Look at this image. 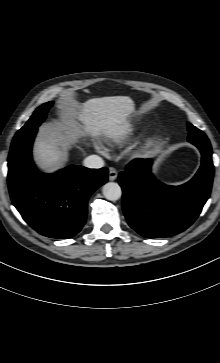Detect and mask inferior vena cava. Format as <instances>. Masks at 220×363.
Returning a JSON list of instances; mask_svg holds the SVG:
<instances>
[{
    "instance_id": "inferior-vena-cava-1",
    "label": "inferior vena cava",
    "mask_w": 220,
    "mask_h": 363,
    "mask_svg": "<svg viewBox=\"0 0 220 363\" xmlns=\"http://www.w3.org/2000/svg\"><path fill=\"white\" fill-rule=\"evenodd\" d=\"M83 164L87 168L98 169L104 166V161L97 155H90L84 159Z\"/></svg>"
}]
</instances>
